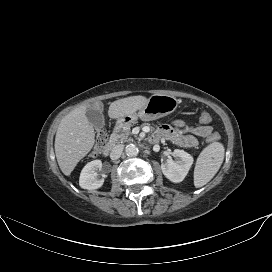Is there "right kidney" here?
I'll return each mask as SVG.
<instances>
[{"mask_svg":"<svg viewBox=\"0 0 272 272\" xmlns=\"http://www.w3.org/2000/svg\"><path fill=\"white\" fill-rule=\"evenodd\" d=\"M102 168L101 160H94L85 165L82 169L79 185L83 189L94 190L102 187L104 183L103 178H99L98 171Z\"/></svg>","mask_w":272,"mask_h":272,"instance_id":"1","label":"right kidney"}]
</instances>
